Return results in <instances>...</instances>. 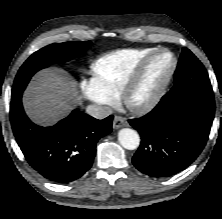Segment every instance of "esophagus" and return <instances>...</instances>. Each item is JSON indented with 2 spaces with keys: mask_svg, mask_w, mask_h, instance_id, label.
Wrapping results in <instances>:
<instances>
[{
  "mask_svg": "<svg viewBox=\"0 0 222 219\" xmlns=\"http://www.w3.org/2000/svg\"><path fill=\"white\" fill-rule=\"evenodd\" d=\"M125 126L124 118L121 116L116 115L113 119V128L119 129L121 127Z\"/></svg>",
  "mask_w": 222,
  "mask_h": 219,
  "instance_id": "1",
  "label": "esophagus"
}]
</instances>
